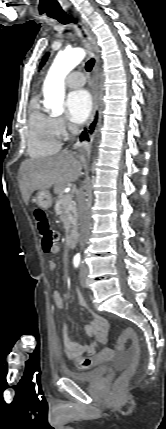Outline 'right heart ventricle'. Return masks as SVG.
<instances>
[{"label": "right heart ventricle", "instance_id": "right-heart-ventricle-1", "mask_svg": "<svg viewBox=\"0 0 166 429\" xmlns=\"http://www.w3.org/2000/svg\"><path fill=\"white\" fill-rule=\"evenodd\" d=\"M60 148L59 139L52 125V117L41 108L38 97L30 103L27 149L31 157H46Z\"/></svg>", "mask_w": 166, "mask_h": 429}]
</instances>
